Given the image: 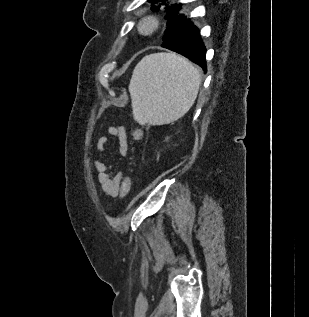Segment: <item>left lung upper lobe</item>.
Returning a JSON list of instances; mask_svg holds the SVG:
<instances>
[{"label": "left lung upper lobe", "instance_id": "obj_1", "mask_svg": "<svg viewBox=\"0 0 309 317\" xmlns=\"http://www.w3.org/2000/svg\"><path fill=\"white\" fill-rule=\"evenodd\" d=\"M147 1L152 2V4L163 1L161 5L166 6L167 15L165 18L168 19V22H167V29L163 37V42H166L170 40L171 38H173L175 35L180 33L188 25L190 20L187 19L183 14L178 15L182 4H172L170 6L168 3H165V1L167 0H147ZM161 5L153 6L152 9L154 11H158Z\"/></svg>", "mask_w": 309, "mask_h": 317}]
</instances>
